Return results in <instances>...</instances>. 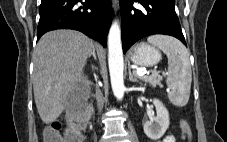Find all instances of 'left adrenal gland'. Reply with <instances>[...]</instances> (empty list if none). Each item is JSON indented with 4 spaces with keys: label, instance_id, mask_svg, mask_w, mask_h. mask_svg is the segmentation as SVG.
Listing matches in <instances>:
<instances>
[{
    "label": "left adrenal gland",
    "instance_id": "left-adrenal-gland-1",
    "mask_svg": "<svg viewBox=\"0 0 227 142\" xmlns=\"http://www.w3.org/2000/svg\"><path fill=\"white\" fill-rule=\"evenodd\" d=\"M129 80L131 82H139L137 78L133 76V73L131 72V68L129 67Z\"/></svg>",
    "mask_w": 227,
    "mask_h": 142
}]
</instances>
